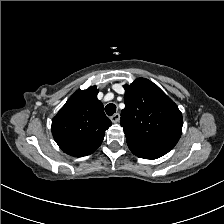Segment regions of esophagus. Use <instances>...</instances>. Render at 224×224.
I'll use <instances>...</instances> for the list:
<instances>
[{
  "mask_svg": "<svg viewBox=\"0 0 224 224\" xmlns=\"http://www.w3.org/2000/svg\"><path fill=\"white\" fill-rule=\"evenodd\" d=\"M110 120L113 122V123H117L119 122L120 120V114L119 113H115L114 115H112L110 117Z\"/></svg>",
  "mask_w": 224,
  "mask_h": 224,
  "instance_id": "obj_1",
  "label": "esophagus"
}]
</instances>
